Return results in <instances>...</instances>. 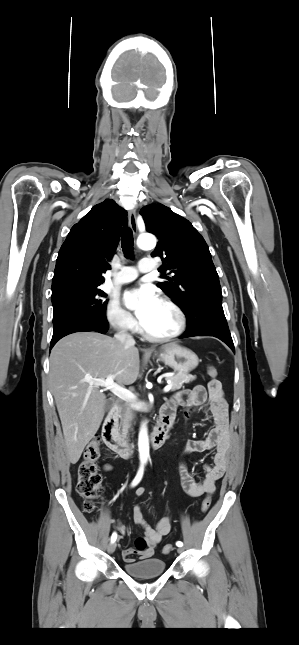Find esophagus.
Instances as JSON below:
<instances>
[{"label": "esophagus", "mask_w": 299, "mask_h": 645, "mask_svg": "<svg viewBox=\"0 0 299 645\" xmlns=\"http://www.w3.org/2000/svg\"><path fill=\"white\" fill-rule=\"evenodd\" d=\"M129 226L134 234H137V220L135 210H130L128 214Z\"/></svg>", "instance_id": "1"}]
</instances>
